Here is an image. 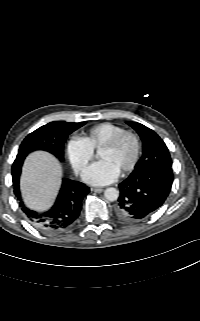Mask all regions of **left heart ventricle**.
Wrapping results in <instances>:
<instances>
[{
    "instance_id": "1",
    "label": "left heart ventricle",
    "mask_w": 200,
    "mask_h": 321,
    "mask_svg": "<svg viewBox=\"0 0 200 321\" xmlns=\"http://www.w3.org/2000/svg\"><path fill=\"white\" fill-rule=\"evenodd\" d=\"M134 152V141L130 137H125L116 147L99 150L98 157L109 161L121 172L131 162Z\"/></svg>"
}]
</instances>
